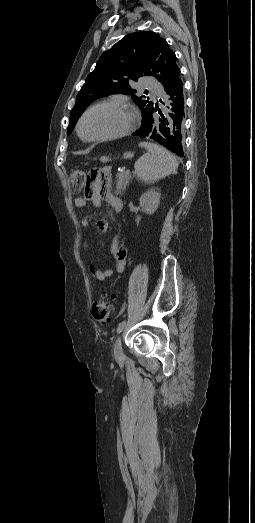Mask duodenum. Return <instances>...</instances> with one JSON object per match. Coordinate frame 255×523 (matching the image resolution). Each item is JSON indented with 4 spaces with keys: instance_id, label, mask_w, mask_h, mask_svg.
Segmentation results:
<instances>
[{
    "instance_id": "obj_1",
    "label": "duodenum",
    "mask_w": 255,
    "mask_h": 523,
    "mask_svg": "<svg viewBox=\"0 0 255 523\" xmlns=\"http://www.w3.org/2000/svg\"><path fill=\"white\" fill-rule=\"evenodd\" d=\"M114 207H115V210L118 212L121 210V206L118 202L115 203Z\"/></svg>"
}]
</instances>
